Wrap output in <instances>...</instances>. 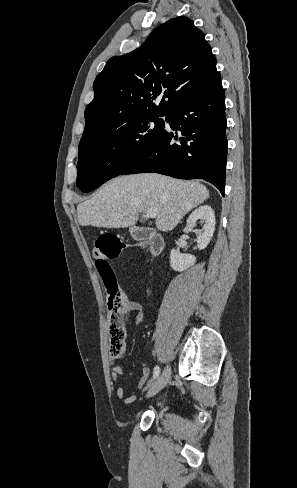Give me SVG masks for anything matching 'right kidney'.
<instances>
[{
    "instance_id": "right-kidney-1",
    "label": "right kidney",
    "mask_w": 297,
    "mask_h": 488,
    "mask_svg": "<svg viewBox=\"0 0 297 488\" xmlns=\"http://www.w3.org/2000/svg\"><path fill=\"white\" fill-rule=\"evenodd\" d=\"M205 222L203 232H199L197 235V246L199 250L205 249L211 241L215 230V215L213 209L208 206H200L195 209L187 219L185 230L194 231V227L197 220ZM195 232V231H194ZM196 262V257L192 254H181L178 250H171L170 253V266L175 271H184L193 266Z\"/></svg>"
}]
</instances>
